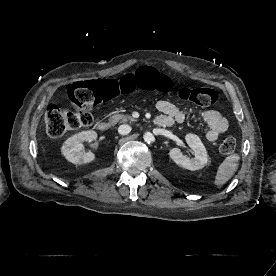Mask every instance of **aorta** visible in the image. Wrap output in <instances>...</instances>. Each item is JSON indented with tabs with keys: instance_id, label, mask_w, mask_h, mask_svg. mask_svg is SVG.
<instances>
[{
	"instance_id": "obj_1",
	"label": "aorta",
	"mask_w": 276,
	"mask_h": 276,
	"mask_svg": "<svg viewBox=\"0 0 276 276\" xmlns=\"http://www.w3.org/2000/svg\"><path fill=\"white\" fill-rule=\"evenodd\" d=\"M143 138H144V141L147 143H152L155 140V137L151 132H146Z\"/></svg>"
}]
</instances>
